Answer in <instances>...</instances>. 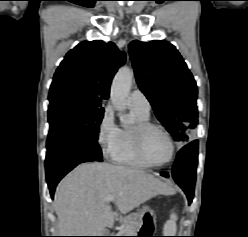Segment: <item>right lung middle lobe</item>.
<instances>
[{
    "mask_svg": "<svg viewBox=\"0 0 248 237\" xmlns=\"http://www.w3.org/2000/svg\"><path fill=\"white\" fill-rule=\"evenodd\" d=\"M104 108L74 99L50 102L48 108L49 135L97 141Z\"/></svg>",
    "mask_w": 248,
    "mask_h": 237,
    "instance_id": "dd1d6c3e",
    "label": "right lung middle lobe"
}]
</instances>
